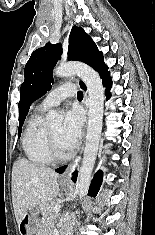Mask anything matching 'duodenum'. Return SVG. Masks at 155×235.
<instances>
[{"label": "duodenum", "mask_w": 155, "mask_h": 235, "mask_svg": "<svg viewBox=\"0 0 155 235\" xmlns=\"http://www.w3.org/2000/svg\"><path fill=\"white\" fill-rule=\"evenodd\" d=\"M63 235H68L67 233H63Z\"/></svg>", "instance_id": "410a0bca"}]
</instances>
